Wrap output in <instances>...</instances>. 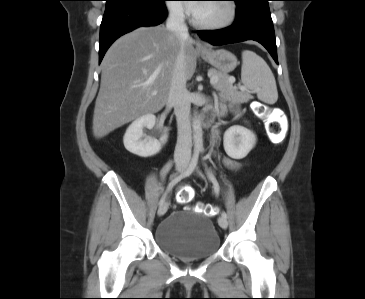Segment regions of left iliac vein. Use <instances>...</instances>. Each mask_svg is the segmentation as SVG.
Returning <instances> with one entry per match:
<instances>
[{
	"mask_svg": "<svg viewBox=\"0 0 365 299\" xmlns=\"http://www.w3.org/2000/svg\"><path fill=\"white\" fill-rule=\"evenodd\" d=\"M218 224H219V226H220L221 228L226 229V228H227V226H228V221H227V219H226L225 217L220 216V217L218 218Z\"/></svg>",
	"mask_w": 365,
	"mask_h": 299,
	"instance_id": "4c4485c4",
	"label": "left iliac vein"
}]
</instances>
